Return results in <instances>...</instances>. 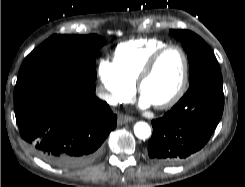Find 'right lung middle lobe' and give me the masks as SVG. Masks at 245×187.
Instances as JSON below:
<instances>
[{"instance_id":"obj_1","label":"right lung middle lobe","mask_w":245,"mask_h":187,"mask_svg":"<svg viewBox=\"0 0 245 187\" xmlns=\"http://www.w3.org/2000/svg\"><path fill=\"white\" fill-rule=\"evenodd\" d=\"M105 43L95 34L52 35L25 58L19 74L36 68H58L95 80V56Z\"/></svg>"}]
</instances>
